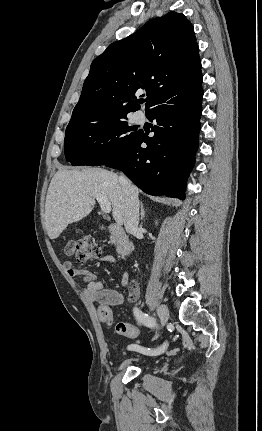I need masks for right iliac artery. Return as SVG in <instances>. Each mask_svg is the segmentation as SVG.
<instances>
[{"label": "right iliac artery", "mask_w": 262, "mask_h": 431, "mask_svg": "<svg viewBox=\"0 0 262 431\" xmlns=\"http://www.w3.org/2000/svg\"><path fill=\"white\" fill-rule=\"evenodd\" d=\"M134 315L139 324H142L144 326L154 328L156 326V321L154 318L150 317L149 315L143 313L138 308H134ZM167 347V344L164 343L161 347L156 349H146L143 348L137 344H131L128 346V350H138L141 351L147 355H158L164 352L165 348Z\"/></svg>", "instance_id": "82829eb1"}]
</instances>
